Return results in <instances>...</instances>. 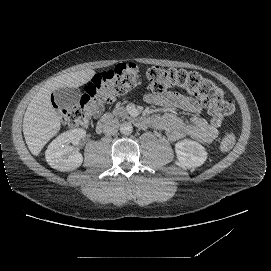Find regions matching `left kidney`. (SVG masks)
Listing matches in <instances>:
<instances>
[{
    "mask_svg": "<svg viewBox=\"0 0 271 271\" xmlns=\"http://www.w3.org/2000/svg\"><path fill=\"white\" fill-rule=\"evenodd\" d=\"M176 152L179 160L185 166H200L206 159L207 153L199 143L183 140L176 144Z\"/></svg>",
    "mask_w": 271,
    "mask_h": 271,
    "instance_id": "5707ae66",
    "label": "left kidney"
}]
</instances>
